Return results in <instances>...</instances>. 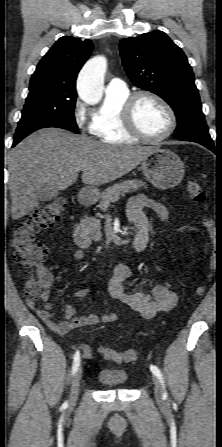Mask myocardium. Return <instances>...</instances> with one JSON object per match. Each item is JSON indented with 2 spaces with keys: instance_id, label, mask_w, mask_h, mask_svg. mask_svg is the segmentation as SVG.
Instances as JSON below:
<instances>
[{
  "instance_id": "f54148a6",
  "label": "myocardium",
  "mask_w": 222,
  "mask_h": 447,
  "mask_svg": "<svg viewBox=\"0 0 222 447\" xmlns=\"http://www.w3.org/2000/svg\"><path fill=\"white\" fill-rule=\"evenodd\" d=\"M143 97H148V98L156 101L158 104H160L165 109V111L168 114L169 126H168L167 130L165 131V133L162 134L161 136L150 137V136L146 135L139 129V127L137 126V124L135 122V117H134L135 108H136L138 101ZM120 116H121L122 127L127 133H129L131 136H133L139 140H142V141L148 142V143H159V142L164 141L165 139L169 138L173 134V132L175 131L176 126H177L176 114H175L173 108L170 106V104L163 97H161L157 93L149 91V90H141V91H137V92H134V93L128 95V97L122 103Z\"/></svg>"
}]
</instances>
